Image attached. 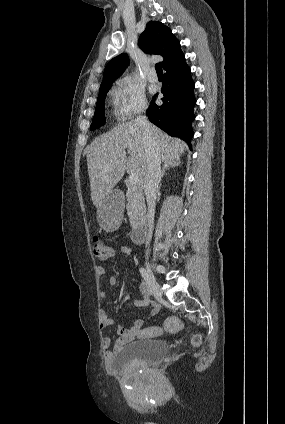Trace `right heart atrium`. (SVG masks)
<instances>
[{"label": "right heart atrium", "mask_w": 285, "mask_h": 424, "mask_svg": "<svg viewBox=\"0 0 285 424\" xmlns=\"http://www.w3.org/2000/svg\"><path fill=\"white\" fill-rule=\"evenodd\" d=\"M113 95L115 110L123 120L130 119L147 108L144 89L130 77L117 80Z\"/></svg>", "instance_id": "right-heart-atrium-1"}]
</instances>
